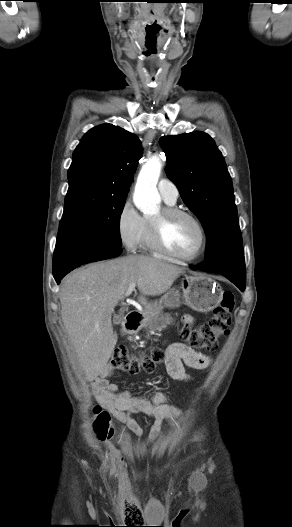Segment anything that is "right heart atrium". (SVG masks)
Here are the masks:
<instances>
[{
	"mask_svg": "<svg viewBox=\"0 0 292 527\" xmlns=\"http://www.w3.org/2000/svg\"><path fill=\"white\" fill-rule=\"evenodd\" d=\"M143 222L144 218L135 209L132 201L126 199L118 211L116 229L122 245L128 251H134L139 246Z\"/></svg>",
	"mask_w": 292,
	"mask_h": 527,
	"instance_id": "obj_1",
	"label": "right heart atrium"
}]
</instances>
